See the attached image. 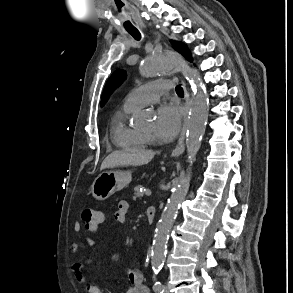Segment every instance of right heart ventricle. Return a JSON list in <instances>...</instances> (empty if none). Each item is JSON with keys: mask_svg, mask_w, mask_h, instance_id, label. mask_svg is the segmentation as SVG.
<instances>
[{"mask_svg": "<svg viewBox=\"0 0 293 293\" xmlns=\"http://www.w3.org/2000/svg\"><path fill=\"white\" fill-rule=\"evenodd\" d=\"M135 108L123 106L113 117L111 137L113 143L124 150L143 149L148 146L150 139L139 130L130 126L129 115Z\"/></svg>", "mask_w": 293, "mask_h": 293, "instance_id": "right-heart-ventricle-1", "label": "right heart ventricle"}]
</instances>
